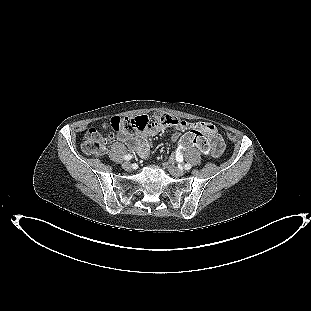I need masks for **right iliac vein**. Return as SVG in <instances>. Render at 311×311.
Instances as JSON below:
<instances>
[{"instance_id":"right-iliac-vein-1","label":"right iliac vein","mask_w":311,"mask_h":311,"mask_svg":"<svg viewBox=\"0 0 311 311\" xmlns=\"http://www.w3.org/2000/svg\"><path fill=\"white\" fill-rule=\"evenodd\" d=\"M122 167L124 169H130L131 168V163L129 161H125L123 164H122Z\"/></svg>"}]
</instances>
